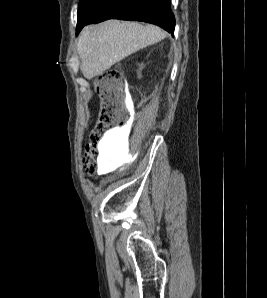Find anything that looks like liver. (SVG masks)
Here are the masks:
<instances>
[{"instance_id":"6515ba94","label":"liver","mask_w":267,"mask_h":298,"mask_svg":"<svg viewBox=\"0 0 267 298\" xmlns=\"http://www.w3.org/2000/svg\"><path fill=\"white\" fill-rule=\"evenodd\" d=\"M165 33L154 25L108 20L86 26L79 35L77 53L86 79L102 75L125 57L164 39Z\"/></svg>"}]
</instances>
